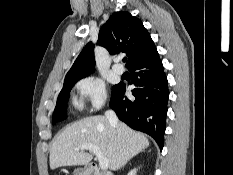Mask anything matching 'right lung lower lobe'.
I'll return each instance as SVG.
<instances>
[{
  "label": "right lung lower lobe",
  "instance_id": "98d812e1",
  "mask_svg": "<svg viewBox=\"0 0 233 175\" xmlns=\"http://www.w3.org/2000/svg\"><path fill=\"white\" fill-rule=\"evenodd\" d=\"M128 69L132 75L131 84L135 85L132 90L135 99L124 97L126 85L119 83L111 95L110 107L121 121L149 134L162 149L169 90L157 50Z\"/></svg>",
  "mask_w": 233,
  "mask_h": 175
}]
</instances>
